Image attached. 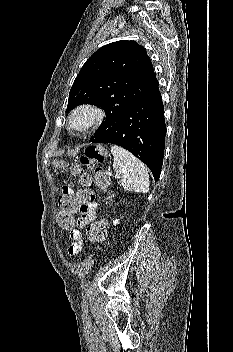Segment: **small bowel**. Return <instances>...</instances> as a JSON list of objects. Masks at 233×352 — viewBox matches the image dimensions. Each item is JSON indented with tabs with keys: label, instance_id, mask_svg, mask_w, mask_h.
I'll use <instances>...</instances> for the list:
<instances>
[{
	"label": "small bowel",
	"instance_id": "c3829d8e",
	"mask_svg": "<svg viewBox=\"0 0 233 352\" xmlns=\"http://www.w3.org/2000/svg\"><path fill=\"white\" fill-rule=\"evenodd\" d=\"M64 192L66 194H74V191L68 187H65ZM97 203L95 201V196H92V200L85 206L79 208V219H78V229H73L70 232V238L72 239V244L68 248V253L71 256L77 255L83 247L82 233L79 228H82L89 223L93 222L97 218Z\"/></svg>",
	"mask_w": 233,
	"mask_h": 352
}]
</instances>
